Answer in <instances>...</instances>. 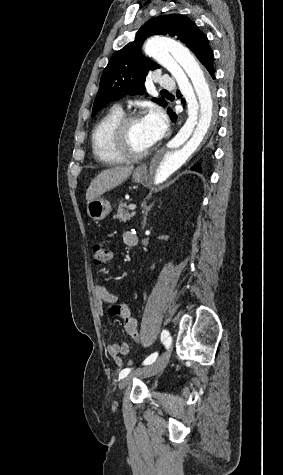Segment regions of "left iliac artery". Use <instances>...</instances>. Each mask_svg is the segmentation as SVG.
Masks as SVG:
<instances>
[{
  "instance_id": "left-iliac-artery-1",
  "label": "left iliac artery",
  "mask_w": 283,
  "mask_h": 475,
  "mask_svg": "<svg viewBox=\"0 0 283 475\" xmlns=\"http://www.w3.org/2000/svg\"><path fill=\"white\" fill-rule=\"evenodd\" d=\"M168 335H169V332L167 330H163L161 333V340L167 343L166 338ZM157 356H158L157 352L151 354L144 360L143 364L144 365L152 364L156 360ZM130 371L131 369L129 368L123 369L119 374V379H123L124 377H126L130 373Z\"/></svg>"
}]
</instances>
